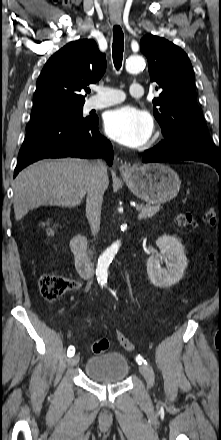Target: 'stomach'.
I'll use <instances>...</instances> for the list:
<instances>
[{
    "label": "stomach",
    "instance_id": "0dacf381",
    "mask_svg": "<svg viewBox=\"0 0 221 440\" xmlns=\"http://www.w3.org/2000/svg\"><path fill=\"white\" fill-rule=\"evenodd\" d=\"M122 177L132 193L148 204H161L172 200L178 194L181 185L177 173L160 163L132 166Z\"/></svg>",
    "mask_w": 221,
    "mask_h": 440
}]
</instances>
